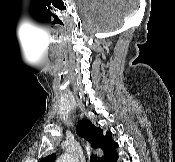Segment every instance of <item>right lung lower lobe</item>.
Returning <instances> with one entry per match:
<instances>
[{
    "instance_id": "1",
    "label": "right lung lower lobe",
    "mask_w": 175,
    "mask_h": 162,
    "mask_svg": "<svg viewBox=\"0 0 175 162\" xmlns=\"http://www.w3.org/2000/svg\"><path fill=\"white\" fill-rule=\"evenodd\" d=\"M117 159H118V154L116 152L106 162H116Z\"/></svg>"
}]
</instances>
